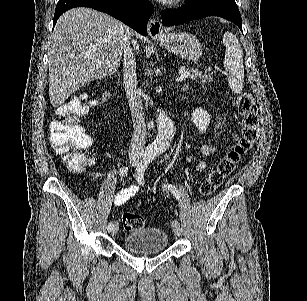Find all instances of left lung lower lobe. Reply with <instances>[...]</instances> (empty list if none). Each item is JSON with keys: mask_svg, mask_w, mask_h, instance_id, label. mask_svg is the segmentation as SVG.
<instances>
[{"mask_svg": "<svg viewBox=\"0 0 307 301\" xmlns=\"http://www.w3.org/2000/svg\"><path fill=\"white\" fill-rule=\"evenodd\" d=\"M208 16H219L235 23L242 31V19L235 2L230 0H201L187 3L179 9H166L162 12V23L174 26Z\"/></svg>", "mask_w": 307, "mask_h": 301, "instance_id": "obj_1", "label": "left lung lower lobe"}]
</instances>
